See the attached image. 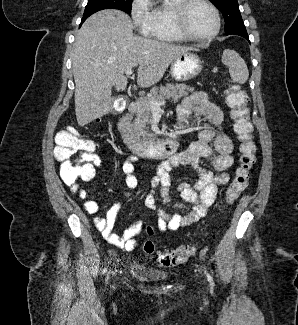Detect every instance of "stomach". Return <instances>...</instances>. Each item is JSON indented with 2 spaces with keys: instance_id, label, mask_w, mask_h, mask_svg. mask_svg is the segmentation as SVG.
<instances>
[{
  "instance_id": "0dacf381",
  "label": "stomach",
  "mask_w": 298,
  "mask_h": 325,
  "mask_svg": "<svg viewBox=\"0 0 298 325\" xmlns=\"http://www.w3.org/2000/svg\"><path fill=\"white\" fill-rule=\"evenodd\" d=\"M203 70V60H201L198 50H189L186 54H180L174 58L170 64L169 72L178 82L195 78Z\"/></svg>"
}]
</instances>
